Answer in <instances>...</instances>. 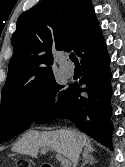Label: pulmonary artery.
Wrapping results in <instances>:
<instances>
[{"mask_svg":"<svg viewBox=\"0 0 125 167\" xmlns=\"http://www.w3.org/2000/svg\"><path fill=\"white\" fill-rule=\"evenodd\" d=\"M60 71L67 78L72 77L74 74V68L66 67L62 62H60Z\"/></svg>","mask_w":125,"mask_h":167,"instance_id":"1","label":"pulmonary artery"}]
</instances>
